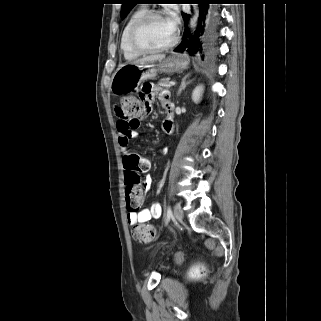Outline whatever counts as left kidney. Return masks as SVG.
<instances>
[{
  "label": "left kidney",
  "mask_w": 321,
  "mask_h": 321,
  "mask_svg": "<svg viewBox=\"0 0 321 321\" xmlns=\"http://www.w3.org/2000/svg\"><path fill=\"white\" fill-rule=\"evenodd\" d=\"M202 92H203V86L202 85H199L194 89V91L192 93V100L195 103H198L200 101L201 96H202Z\"/></svg>",
  "instance_id": "left-kidney-1"
}]
</instances>
